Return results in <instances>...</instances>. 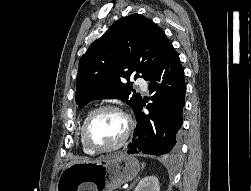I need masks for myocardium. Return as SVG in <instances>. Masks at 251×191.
I'll list each match as a JSON object with an SVG mask.
<instances>
[{
	"label": "myocardium",
	"mask_w": 251,
	"mask_h": 191,
	"mask_svg": "<svg viewBox=\"0 0 251 191\" xmlns=\"http://www.w3.org/2000/svg\"><path fill=\"white\" fill-rule=\"evenodd\" d=\"M106 110L114 111L121 117V119L124 122V131H123L122 138L118 143L112 146L106 147V148H97L93 146L88 139V127L91 120L96 114L102 111H106ZM131 128H132V123H131L130 118L120 108L111 104H105V105H101L94 108L84 117L81 127H80V140L83 147L91 154L98 155V154L109 153V152L119 149L126 143V141L129 138Z\"/></svg>",
	"instance_id": "obj_1"
}]
</instances>
